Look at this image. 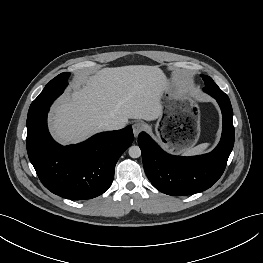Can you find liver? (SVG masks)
I'll use <instances>...</instances> for the list:
<instances>
[{
    "instance_id": "liver-1",
    "label": "liver",
    "mask_w": 263,
    "mask_h": 263,
    "mask_svg": "<svg viewBox=\"0 0 263 263\" xmlns=\"http://www.w3.org/2000/svg\"><path fill=\"white\" fill-rule=\"evenodd\" d=\"M169 84L157 66L129 65L104 68L77 78L71 95L53 108L50 124L62 144L79 142L106 130L104 123L128 119L156 120L162 116V93Z\"/></svg>"
}]
</instances>
